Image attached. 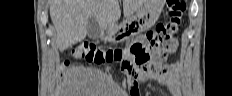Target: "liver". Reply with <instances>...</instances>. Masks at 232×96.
<instances>
[{"label": "liver", "instance_id": "obj_1", "mask_svg": "<svg viewBox=\"0 0 232 96\" xmlns=\"http://www.w3.org/2000/svg\"><path fill=\"white\" fill-rule=\"evenodd\" d=\"M145 2L123 0L125 17L131 18ZM90 16L96 18L101 29L115 27L121 17L119 0H51L50 17L56 29L60 51L85 39Z\"/></svg>", "mask_w": 232, "mask_h": 96}]
</instances>
